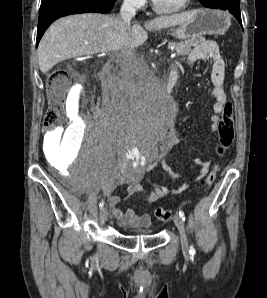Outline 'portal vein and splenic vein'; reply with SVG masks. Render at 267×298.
<instances>
[{
    "label": "portal vein and splenic vein",
    "instance_id": "18ae733b",
    "mask_svg": "<svg viewBox=\"0 0 267 298\" xmlns=\"http://www.w3.org/2000/svg\"><path fill=\"white\" fill-rule=\"evenodd\" d=\"M176 56V53L171 54V58H174Z\"/></svg>",
    "mask_w": 267,
    "mask_h": 298
}]
</instances>
